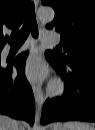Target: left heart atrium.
I'll return each mask as SVG.
<instances>
[{
  "label": "left heart atrium",
  "mask_w": 95,
  "mask_h": 130,
  "mask_svg": "<svg viewBox=\"0 0 95 130\" xmlns=\"http://www.w3.org/2000/svg\"><path fill=\"white\" fill-rule=\"evenodd\" d=\"M22 71L25 76L31 81H39L46 77V68L40 58L36 53L30 55L25 61Z\"/></svg>",
  "instance_id": "obj_1"
}]
</instances>
